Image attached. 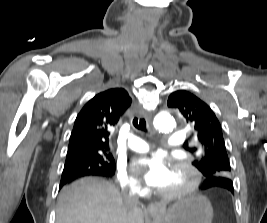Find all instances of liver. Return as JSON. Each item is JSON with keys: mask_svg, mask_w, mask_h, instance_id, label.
I'll return each mask as SVG.
<instances>
[{"mask_svg": "<svg viewBox=\"0 0 267 223\" xmlns=\"http://www.w3.org/2000/svg\"><path fill=\"white\" fill-rule=\"evenodd\" d=\"M56 223H144V212L127 205L113 184L86 177L62 189Z\"/></svg>", "mask_w": 267, "mask_h": 223, "instance_id": "1", "label": "liver"}]
</instances>
